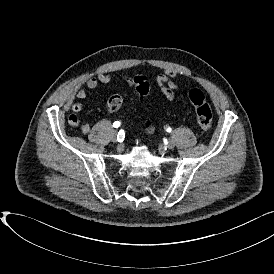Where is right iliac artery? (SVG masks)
Returning a JSON list of instances; mask_svg holds the SVG:
<instances>
[{
  "label": "right iliac artery",
  "instance_id": "obj_1",
  "mask_svg": "<svg viewBox=\"0 0 274 274\" xmlns=\"http://www.w3.org/2000/svg\"><path fill=\"white\" fill-rule=\"evenodd\" d=\"M113 127L114 128H118L120 127V122L119 121H115L113 123ZM124 137H125V133H124V130H120L118 135H117V141L121 142L124 140Z\"/></svg>",
  "mask_w": 274,
  "mask_h": 274
}]
</instances>
